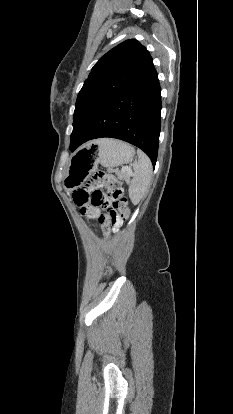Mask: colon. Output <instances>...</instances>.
Masks as SVG:
<instances>
[{
  "mask_svg": "<svg viewBox=\"0 0 233 414\" xmlns=\"http://www.w3.org/2000/svg\"><path fill=\"white\" fill-rule=\"evenodd\" d=\"M73 200L80 208L86 205L101 207L100 224L107 230L117 218L127 220L130 215L122 183L103 172L96 173L85 189L76 190Z\"/></svg>",
  "mask_w": 233,
  "mask_h": 414,
  "instance_id": "5ec220e1",
  "label": "colon"
}]
</instances>
